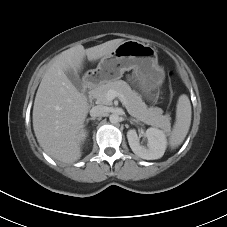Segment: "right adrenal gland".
I'll use <instances>...</instances> for the list:
<instances>
[{
  "instance_id": "right-adrenal-gland-1",
  "label": "right adrenal gland",
  "mask_w": 227,
  "mask_h": 227,
  "mask_svg": "<svg viewBox=\"0 0 227 227\" xmlns=\"http://www.w3.org/2000/svg\"><path fill=\"white\" fill-rule=\"evenodd\" d=\"M90 120H95V118H88L86 119V122L88 123Z\"/></svg>"
}]
</instances>
